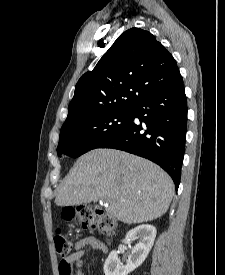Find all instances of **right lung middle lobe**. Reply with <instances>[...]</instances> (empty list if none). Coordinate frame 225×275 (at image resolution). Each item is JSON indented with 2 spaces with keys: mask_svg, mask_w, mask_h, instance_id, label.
Listing matches in <instances>:
<instances>
[{
  "mask_svg": "<svg viewBox=\"0 0 225 275\" xmlns=\"http://www.w3.org/2000/svg\"><path fill=\"white\" fill-rule=\"evenodd\" d=\"M131 110H115L76 120L60 131L57 152L73 158L98 148L119 133L129 122Z\"/></svg>",
  "mask_w": 225,
  "mask_h": 275,
  "instance_id": "1",
  "label": "right lung middle lobe"
}]
</instances>
